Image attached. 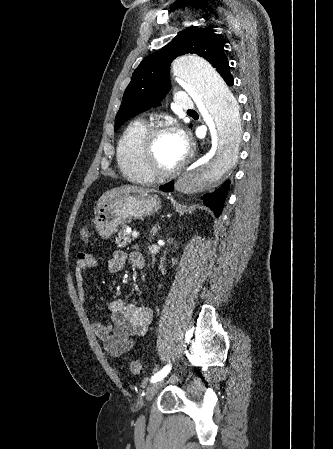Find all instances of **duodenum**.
Listing matches in <instances>:
<instances>
[{
    "label": "duodenum",
    "mask_w": 333,
    "mask_h": 449,
    "mask_svg": "<svg viewBox=\"0 0 333 449\" xmlns=\"http://www.w3.org/2000/svg\"><path fill=\"white\" fill-rule=\"evenodd\" d=\"M133 263L138 268L144 267V258L141 253H133Z\"/></svg>",
    "instance_id": "1"
}]
</instances>
